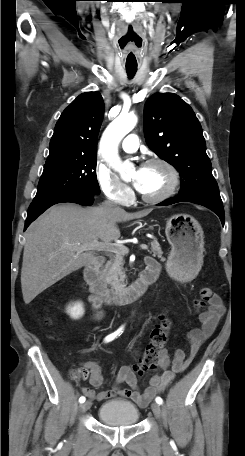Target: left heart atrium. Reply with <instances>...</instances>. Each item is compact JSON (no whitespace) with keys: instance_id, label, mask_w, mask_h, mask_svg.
<instances>
[{"instance_id":"1","label":"left heart atrium","mask_w":245,"mask_h":456,"mask_svg":"<svg viewBox=\"0 0 245 456\" xmlns=\"http://www.w3.org/2000/svg\"><path fill=\"white\" fill-rule=\"evenodd\" d=\"M134 185H135V187H136V188L139 190V187H140V181H139V179H138V178H136V179L134 180Z\"/></svg>"}]
</instances>
